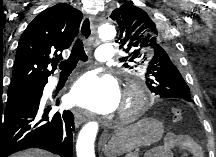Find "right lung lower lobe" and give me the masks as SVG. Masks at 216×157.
<instances>
[{
  "mask_svg": "<svg viewBox=\"0 0 216 157\" xmlns=\"http://www.w3.org/2000/svg\"><path fill=\"white\" fill-rule=\"evenodd\" d=\"M41 98L42 93L30 92L0 110V157L30 147L73 157L72 112L50 114L51 104Z\"/></svg>",
  "mask_w": 216,
  "mask_h": 157,
  "instance_id": "1",
  "label": "right lung lower lobe"
}]
</instances>
